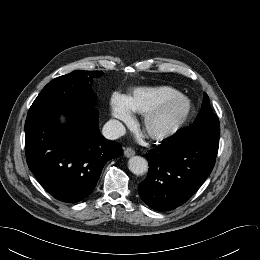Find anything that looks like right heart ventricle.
<instances>
[{
    "instance_id": "right-heart-ventricle-1",
    "label": "right heart ventricle",
    "mask_w": 260,
    "mask_h": 260,
    "mask_svg": "<svg viewBox=\"0 0 260 260\" xmlns=\"http://www.w3.org/2000/svg\"><path fill=\"white\" fill-rule=\"evenodd\" d=\"M179 93L170 86L137 87L125 99L130 111L143 114L160 101Z\"/></svg>"
}]
</instances>
